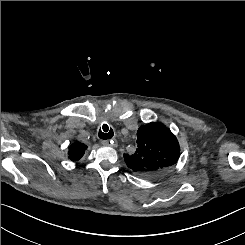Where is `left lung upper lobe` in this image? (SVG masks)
<instances>
[{"mask_svg":"<svg viewBox=\"0 0 245 245\" xmlns=\"http://www.w3.org/2000/svg\"><path fill=\"white\" fill-rule=\"evenodd\" d=\"M137 149L124 154L127 166L138 176L155 178L169 171L178 161L180 147L172 132L162 124L149 123L137 131Z\"/></svg>","mask_w":245,"mask_h":245,"instance_id":"left-lung-upper-lobe-1","label":"left lung upper lobe"}]
</instances>
